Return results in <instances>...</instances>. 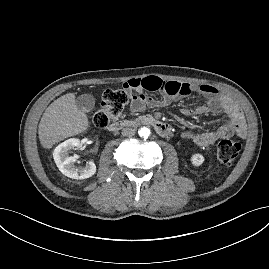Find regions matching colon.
I'll return each instance as SVG.
<instances>
[{"label":"colon","instance_id":"obj_1","mask_svg":"<svg viewBox=\"0 0 269 269\" xmlns=\"http://www.w3.org/2000/svg\"><path fill=\"white\" fill-rule=\"evenodd\" d=\"M130 91L126 86L120 89H108L102 95L99 108L91 119V124L98 128L106 127L118 118L128 101ZM240 143L231 139H222L217 146V156L220 162L231 164L239 155Z\"/></svg>","mask_w":269,"mask_h":269}]
</instances>
